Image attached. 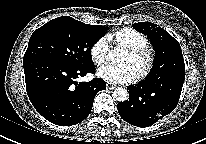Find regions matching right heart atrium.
<instances>
[{
    "label": "right heart atrium",
    "mask_w": 206,
    "mask_h": 144,
    "mask_svg": "<svg viewBox=\"0 0 206 144\" xmlns=\"http://www.w3.org/2000/svg\"><path fill=\"white\" fill-rule=\"evenodd\" d=\"M109 51L110 43L105 36L98 38L90 48L91 57L98 65L103 64L107 60Z\"/></svg>",
    "instance_id": "right-heart-atrium-1"
}]
</instances>
